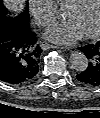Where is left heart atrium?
<instances>
[{
  "label": "left heart atrium",
  "mask_w": 100,
  "mask_h": 118,
  "mask_svg": "<svg viewBox=\"0 0 100 118\" xmlns=\"http://www.w3.org/2000/svg\"><path fill=\"white\" fill-rule=\"evenodd\" d=\"M78 25L72 19L53 22L45 32L48 40L60 43L71 44L82 36Z\"/></svg>",
  "instance_id": "1"
}]
</instances>
